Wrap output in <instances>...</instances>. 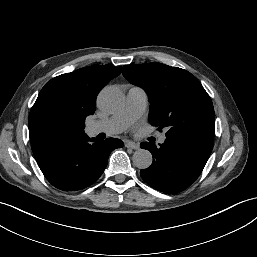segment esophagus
<instances>
[{
	"instance_id": "34e87169",
	"label": "esophagus",
	"mask_w": 257,
	"mask_h": 257,
	"mask_svg": "<svg viewBox=\"0 0 257 257\" xmlns=\"http://www.w3.org/2000/svg\"><path fill=\"white\" fill-rule=\"evenodd\" d=\"M125 147L137 150V149H139V144L135 143V142H131V141H126Z\"/></svg>"
}]
</instances>
